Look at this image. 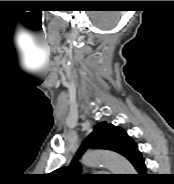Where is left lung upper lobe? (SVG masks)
I'll return each mask as SVG.
<instances>
[{"instance_id": "obj_1", "label": "left lung upper lobe", "mask_w": 174, "mask_h": 184, "mask_svg": "<svg viewBox=\"0 0 174 184\" xmlns=\"http://www.w3.org/2000/svg\"><path fill=\"white\" fill-rule=\"evenodd\" d=\"M134 144L135 142L122 128L106 122H100L94 127L92 135L84 140L71 164L51 174L58 180L64 181V183H73L92 178L93 175L80 174L81 167L78 164V159L89 146L97 149L112 150L126 156Z\"/></svg>"}]
</instances>
